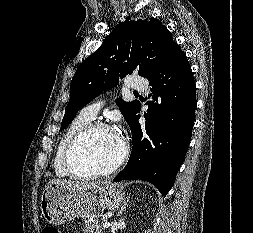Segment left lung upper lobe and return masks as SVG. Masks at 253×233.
<instances>
[{
	"mask_svg": "<svg viewBox=\"0 0 253 233\" xmlns=\"http://www.w3.org/2000/svg\"><path fill=\"white\" fill-rule=\"evenodd\" d=\"M175 44L168 29L154 17L146 20L127 17L77 68L70 84L71 96L60 130L71 123L82 107L115 87L119 78L133 71L147 78L157 71ZM138 104L137 101H117L128 124Z\"/></svg>",
	"mask_w": 253,
	"mask_h": 233,
	"instance_id": "left-lung-upper-lobe-1",
	"label": "left lung upper lobe"
}]
</instances>
